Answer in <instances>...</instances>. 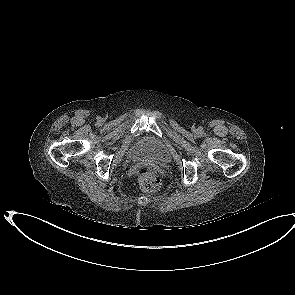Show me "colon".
Returning a JSON list of instances; mask_svg holds the SVG:
<instances>
[{"instance_id": "colon-1", "label": "colon", "mask_w": 295, "mask_h": 295, "mask_svg": "<svg viewBox=\"0 0 295 295\" xmlns=\"http://www.w3.org/2000/svg\"><path fill=\"white\" fill-rule=\"evenodd\" d=\"M137 179L140 188L145 192H156L161 187V178L151 167H140L137 172Z\"/></svg>"}]
</instances>
